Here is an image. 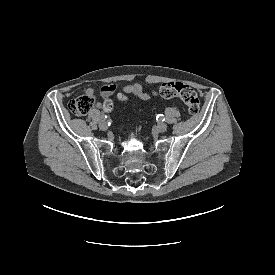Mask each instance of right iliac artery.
I'll list each match as a JSON object with an SVG mask.
<instances>
[{"label":"right iliac artery","mask_w":275,"mask_h":275,"mask_svg":"<svg viewBox=\"0 0 275 275\" xmlns=\"http://www.w3.org/2000/svg\"><path fill=\"white\" fill-rule=\"evenodd\" d=\"M106 118H107V116L104 115V114H102V115L100 116V119H101V120H105Z\"/></svg>","instance_id":"82829eb1"}]
</instances>
